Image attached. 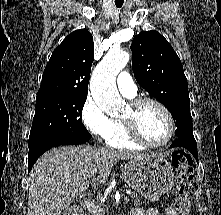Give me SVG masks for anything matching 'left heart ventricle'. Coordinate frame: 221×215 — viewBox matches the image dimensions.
I'll list each match as a JSON object with an SVG mask.
<instances>
[{
    "mask_svg": "<svg viewBox=\"0 0 221 215\" xmlns=\"http://www.w3.org/2000/svg\"><path fill=\"white\" fill-rule=\"evenodd\" d=\"M130 113L128 106L123 116ZM137 125L141 135L150 143L162 142L168 133V121L163 111L153 103H144L137 110Z\"/></svg>",
    "mask_w": 221,
    "mask_h": 215,
    "instance_id": "b2bd125f",
    "label": "left heart ventricle"
}]
</instances>
